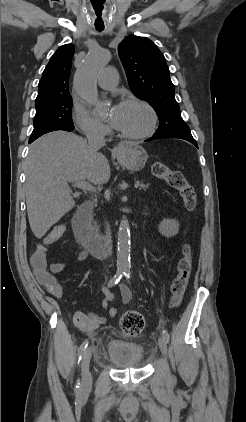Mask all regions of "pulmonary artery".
<instances>
[{
	"label": "pulmonary artery",
	"mask_w": 246,
	"mask_h": 422,
	"mask_svg": "<svg viewBox=\"0 0 246 422\" xmlns=\"http://www.w3.org/2000/svg\"><path fill=\"white\" fill-rule=\"evenodd\" d=\"M118 77L114 68L108 67L101 71L98 76V85L103 89H112L117 85Z\"/></svg>",
	"instance_id": "pulmonary-artery-1"
}]
</instances>
